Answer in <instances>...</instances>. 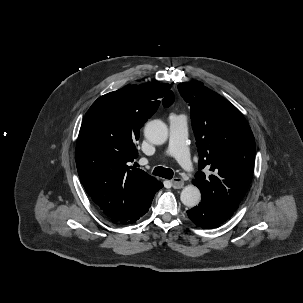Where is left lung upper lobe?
<instances>
[{
  "mask_svg": "<svg viewBox=\"0 0 303 303\" xmlns=\"http://www.w3.org/2000/svg\"><path fill=\"white\" fill-rule=\"evenodd\" d=\"M191 107V122L199 153V171L192 181L202 196L239 207L250 184L255 157L252 131L241 112L202 82L178 85ZM208 168L205 174L202 169Z\"/></svg>",
  "mask_w": 303,
  "mask_h": 303,
  "instance_id": "obj_1",
  "label": "left lung upper lobe"
}]
</instances>
